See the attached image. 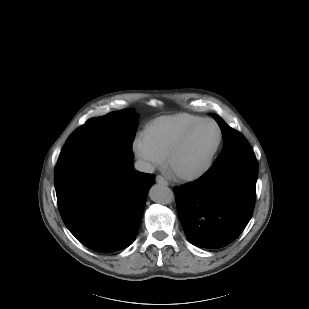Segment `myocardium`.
<instances>
[{"instance_id": "f54148a6", "label": "myocardium", "mask_w": 309, "mask_h": 309, "mask_svg": "<svg viewBox=\"0 0 309 309\" xmlns=\"http://www.w3.org/2000/svg\"><path fill=\"white\" fill-rule=\"evenodd\" d=\"M205 123H212L214 124L217 129H218V141L207 161V163L199 170L195 172H190V173H180V172H175L172 170L171 165L174 157L176 154L179 152V150L182 148V146L185 144V142L188 140V138L193 134V132L199 128L201 125ZM224 139V133L221 125L214 119L212 118H203L202 120L196 122L192 126H190L178 139L177 141L173 144L172 148L168 152L166 158H165V164L167 168L172 172V174L181 181H194L202 176H204L213 166L214 161L217 157V154L222 146Z\"/></svg>"}]
</instances>
